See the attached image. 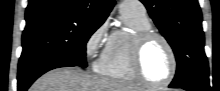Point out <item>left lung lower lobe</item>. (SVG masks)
<instances>
[{
	"label": "left lung lower lobe",
	"instance_id": "0a47b994",
	"mask_svg": "<svg viewBox=\"0 0 220 91\" xmlns=\"http://www.w3.org/2000/svg\"><path fill=\"white\" fill-rule=\"evenodd\" d=\"M169 87L174 88L172 85H170ZM178 88H182L187 91H209L210 90V86L206 84H188V85H183Z\"/></svg>",
	"mask_w": 220,
	"mask_h": 91
}]
</instances>
